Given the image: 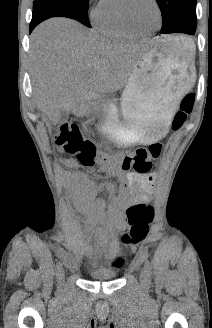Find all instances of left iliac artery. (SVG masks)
Wrapping results in <instances>:
<instances>
[{"mask_svg": "<svg viewBox=\"0 0 212 328\" xmlns=\"http://www.w3.org/2000/svg\"><path fill=\"white\" fill-rule=\"evenodd\" d=\"M145 271L147 274L148 281H150L152 269H151V264L148 260H146V262H145Z\"/></svg>", "mask_w": 212, "mask_h": 328, "instance_id": "left-iliac-artery-1", "label": "left iliac artery"}]
</instances>
